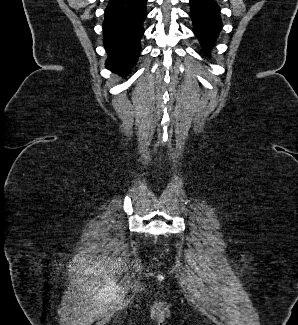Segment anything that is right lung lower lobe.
Wrapping results in <instances>:
<instances>
[{"label": "right lung lower lobe", "mask_w": 298, "mask_h": 325, "mask_svg": "<svg viewBox=\"0 0 298 325\" xmlns=\"http://www.w3.org/2000/svg\"><path fill=\"white\" fill-rule=\"evenodd\" d=\"M147 0H109L103 22L106 65L113 71L132 68L140 54Z\"/></svg>", "instance_id": "obj_1"}]
</instances>
